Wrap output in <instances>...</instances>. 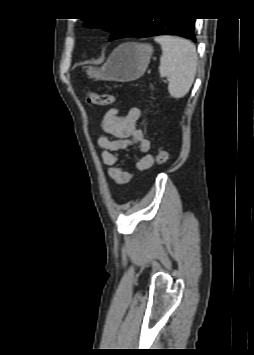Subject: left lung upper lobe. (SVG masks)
<instances>
[{"label":"left lung upper lobe","instance_id":"5c2ea615","mask_svg":"<svg viewBox=\"0 0 254 355\" xmlns=\"http://www.w3.org/2000/svg\"><path fill=\"white\" fill-rule=\"evenodd\" d=\"M134 18H96V19H83L86 25L94 28H102L112 33L110 41L118 39L130 27Z\"/></svg>","mask_w":254,"mask_h":355}]
</instances>
